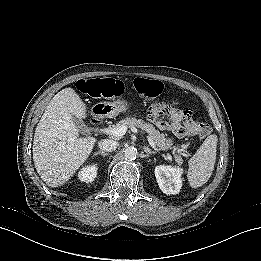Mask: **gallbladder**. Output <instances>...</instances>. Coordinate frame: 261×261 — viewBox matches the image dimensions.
Wrapping results in <instances>:
<instances>
[{
	"label": "gallbladder",
	"mask_w": 261,
	"mask_h": 261,
	"mask_svg": "<svg viewBox=\"0 0 261 261\" xmlns=\"http://www.w3.org/2000/svg\"><path fill=\"white\" fill-rule=\"evenodd\" d=\"M76 124L78 125V127L80 128V129H82V130H85L86 129V126L82 123V122H80V121H76Z\"/></svg>",
	"instance_id": "gallbladder-1"
}]
</instances>
